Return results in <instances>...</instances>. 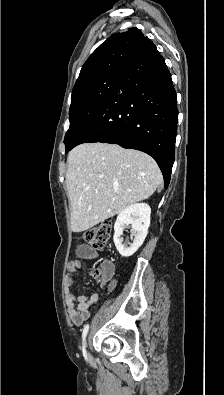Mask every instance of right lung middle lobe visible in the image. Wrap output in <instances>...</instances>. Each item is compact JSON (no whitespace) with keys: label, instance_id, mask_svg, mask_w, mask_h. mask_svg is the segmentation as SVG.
Masks as SVG:
<instances>
[{"label":"right lung middle lobe","instance_id":"right-lung-middle-lobe-1","mask_svg":"<svg viewBox=\"0 0 224 395\" xmlns=\"http://www.w3.org/2000/svg\"><path fill=\"white\" fill-rule=\"evenodd\" d=\"M120 76L121 73L104 75L72 92L69 111L70 127L64 139L66 153L81 136L90 120L101 109Z\"/></svg>","mask_w":224,"mask_h":395}]
</instances>
